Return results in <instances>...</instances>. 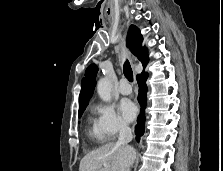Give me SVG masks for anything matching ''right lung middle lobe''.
Instances as JSON below:
<instances>
[{
  "instance_id": "dd1d6c3e",
  "label": "right lung middle lobe",
  "mask_w": 223,
  "mask_h": 171,
  "mask_svg": "<svg viewBox=\"0 0 223 171\" xmlns=\"http://www.w3.org/2000/svg\"><path fill=\"white\" fill-rule=\"evenodd\" d=\"M86 106L80 107L78 112V117L80 118L85 110Z\"/></svg>"
}]
</instances>
